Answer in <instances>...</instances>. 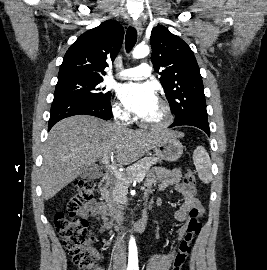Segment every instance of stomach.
<instances>
[{
  "label": "stomach",
  "instance_id": "0dacf381",
  "mask_svg": "<svg viewBox=\"0 0 267 270\" xmlns=\"http://www.w3.org/2000/svg\"><path fill=\"white\" fill-rule=\"evenodd\" d=\"M154 152L158 158L173 162L181 157L183 146L177 137L168 136L154 147Z\"/></svg>",
  "mask_w": 267,
  "mask_h": 270
}]
</instances>
